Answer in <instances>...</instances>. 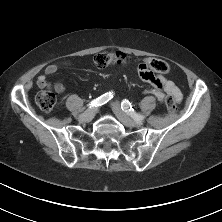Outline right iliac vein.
<instances>
[{
	"mask_svg": "<svg viewBox=\"0 0 222 222\" xmlns=\"http://www.w3.org/2000/svg\"><path fill=\"white\" fill-rule=\"evenodd\" d=\"M97 108H88L86 111H84L80 116L79 120L82 122H90L94 118L96 114Z\"/></svg>",
	"mask_w": 222,
	"mask_h": 222,
	"instance_id": "1",
	"label": "right iliac vein"
}]
</instances>
